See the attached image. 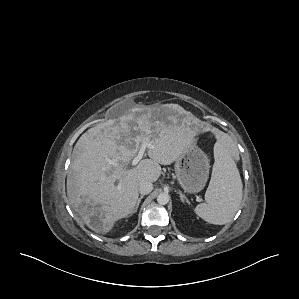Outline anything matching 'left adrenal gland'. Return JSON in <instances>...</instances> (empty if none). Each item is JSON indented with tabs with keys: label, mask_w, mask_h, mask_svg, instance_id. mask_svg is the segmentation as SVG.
<instances>
[{
	"label": "left adrenal gland",
	"mask_w": 299,
	"mask_h": 299,
	"mask_svg": "<svg viewBox=\"0 0 299 299\" xmlns=\"http://www.w3.org/2000/svg\"><path fill=\"white\" fill-rule=\"evenodd\" d=\"M177 193L179 194L182 202H186V203L189 204V201H188L187 197L181 191H177Z\"/></svg>",
	"instance_id": "a2214340"
}]
</instances>
